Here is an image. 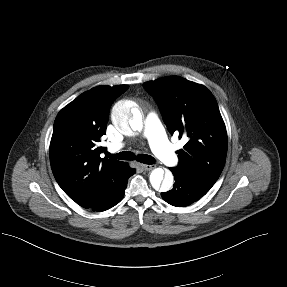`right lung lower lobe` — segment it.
Returning <instances> with one entry per match:
<instances>
[{
	"label": "right lung lower lobe",
	"instance_id": "98d812e1",
	"mask_svg": "<svg viewBox=\"0 0 287 287\" xmlns=\"http://www.w3.org/2000/svg\"><path fill=\"white\" fill-rule=\"evenodd\" d=\"M135 172L136 169L128 167L127 174L110 188L107 195L102 200H100L97 204L89 207V209L101 212L108 210L118 204L124 196L128 178Z\"/></svg>",
	"mask_w": 287,
	"mask_h": 287
}]
</instances>
